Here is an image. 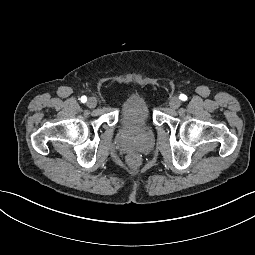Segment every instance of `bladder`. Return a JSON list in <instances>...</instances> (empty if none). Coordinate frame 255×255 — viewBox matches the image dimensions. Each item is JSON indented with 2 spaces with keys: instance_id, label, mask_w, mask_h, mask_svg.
Returning <instances> with one entry per match:
<instances>
[{
  "instance_id": "bladder-1",
  "label": "bladder",
  "mask_w": 255,
  "mask_h": 255,
  "mask_svg": "<svg viewBox=\"0 0 255 255\" xmlns=\"http://www.w3.org/2000/svg\"><path fill=\"white\" fill-rule=\"evenodd\" d=\"M149 116L145 100L138 94L132 95L121 112L122 126L126 129L135 128Z\"/></svg>"
}]
</instances>
